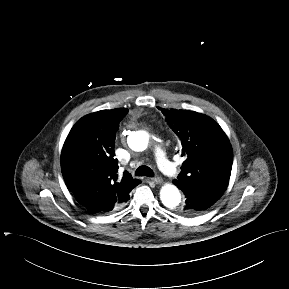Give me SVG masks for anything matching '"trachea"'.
Masks as SVG:
<instances>
[{
    "instance_id": "3493384b",
    "label": "trachea",
    "mask_w": 289,
    "mask_h": 289,
    "mask_svg": "<svg viewBox=\"0 0 289 289\" xmlns=\"http://www.w3.org/2000/svg\"><path fill=\"white\" fill-rule=\"evenodd\" d=\"M136 176H147V177H153L154 173L153 170L148 166H140L136 169L135 172Z\"/></svg>"
}]
</instances>
